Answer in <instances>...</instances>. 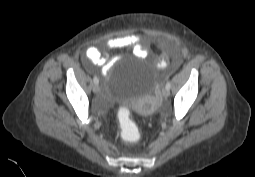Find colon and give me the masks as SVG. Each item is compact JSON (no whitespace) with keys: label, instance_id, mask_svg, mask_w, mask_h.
<instances>
[{"label":"colon","instance_id":"obj_1","mask_svg":"<svg viewBox=\"0 0 255 177\" xmlns=\"http://www.w3.org/2000/svg\"><path fill=\"white\" fill-rule=\"evenodd\" d=\"M156 42L158 47L162 49L166 48L168 44L165 37H158ZM172 57L173 56L170 51H161L159 61L160 65L164 67L168 66ZM118 121L123 141L127 143H135L138 140L140 133L136 123L132 119L131 112L126 108L120 109L118 113Z\"/></svg>","mask_w":255,"mask_h":177}]
</instances>
